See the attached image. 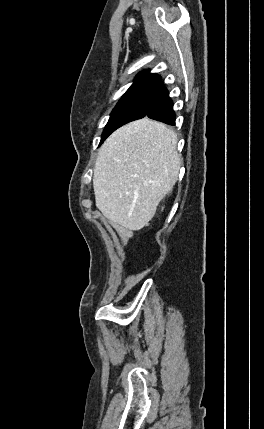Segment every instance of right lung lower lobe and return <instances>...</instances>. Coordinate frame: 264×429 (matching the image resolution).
Returning <instances> with one entry per match:
<instances>
[{"label": "right lung lower lobe", "mask_w": 264, "mask_h": 429, "mask_svg": "<svg viewBox=\"0 0 264 429\" xmlns=\"http://www.w3.org/2000/svg\"><path fill=\"white\" fill-rule=\"evenodd\" d=\"M146 116L170 125L175 124L176 116L173 111V102L169 98L166 88H163L161 95L152 105Z\"/></svg>", "instance_id": "obj_1"}]
</instances>
